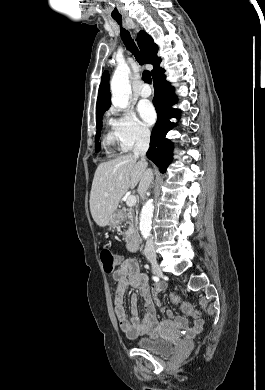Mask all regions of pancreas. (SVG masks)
Here are the masks:
<instances>
[{
  "label": "pancreas",
  "instance_id": "cf45deb5",
  "mask_svg": "<svg viewBox=\"0 0 265 390\" xmlns=\"http://www.w3.org/2000/svg\"><path fill=\"white\" fill-rule=\"evenodd\" d=\"M133 212L134 211L132 208H127L123 211V218L125 222L124 224H129L128 230L122 232V234L126 236V240L130 236V234H132L136 230L137 227V223H138L137 217L134 215Z\"/></svg>",
  "mask_w": 265,
  "mask_h": 390
}]
</instances>
